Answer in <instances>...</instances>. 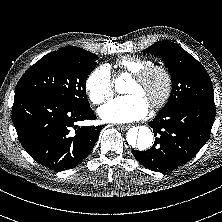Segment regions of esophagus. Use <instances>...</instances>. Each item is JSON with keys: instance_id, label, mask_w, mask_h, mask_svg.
<instances>
[{"instance_id": "esophagus-1", "label": "esophagus", "mask_w": 222, "mask_h": 222, "mask_svg": "<svg viewBox=\"0 0 222 222\" xmlns=\"http://www.w3.org/2000/svg\"><path fill=\"white\" fill-rule=\"evenodd\" d=\"M129 127V125H118V128L121 130H127Z\"/></svg>"}]
</instances>
